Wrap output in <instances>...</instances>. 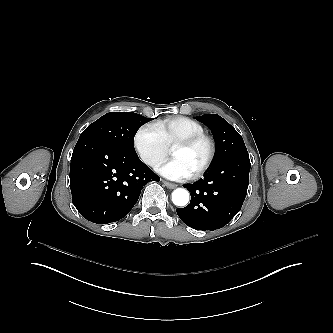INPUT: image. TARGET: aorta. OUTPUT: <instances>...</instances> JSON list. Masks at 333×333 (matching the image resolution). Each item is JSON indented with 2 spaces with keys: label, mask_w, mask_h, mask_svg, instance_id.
Wrapping results in <instances>:
<instances>
[{
  "label": "aorta",
  "mask_w": 333,
  "mask_h": 333,
  "mask_svg": "<svg viewBox=\"0 0 333 333\" xmlns=\"http://www.w3.org/2000/svg\"><path fill=\"white\" fill-rule=\"evenodd\" d=\"M172 202L174 205L184 207L189 202V192L183 188H177L172 192Z\"/></svg>",
  "instance_id": "aorta-1"
}]
</instances>
